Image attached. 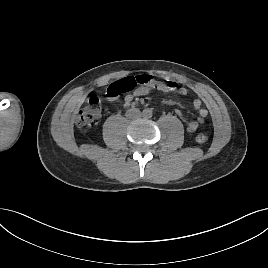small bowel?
I'll use <instances>...</instances> for the list:
<instances>
[{
  "label": "small bowel",
  "instance_id": "1",
  "mask_svg": "<svg viewBox=\"0 0 268 268\" xmlns=\"http://www.w3.org/2000/svg\"><path fill=\"white\" fill-rule=\"evenodd\" d=\"M177 92L185 95L187 94L188 90L185 87H178ZM147 93L148 88L138 87L124 97V103L126 105H130L136 98L145 96ZM193 107L198 112V117L196 119H186L180 111H177L178 116L185 122L186 129L189 133H195L204 123L205 118L208 116V110L203 107L202 101L200 99H195L193 101Z\"/></svg>",
  "mask_w": 268,
  "mask_h": 268
}]
</instances>
